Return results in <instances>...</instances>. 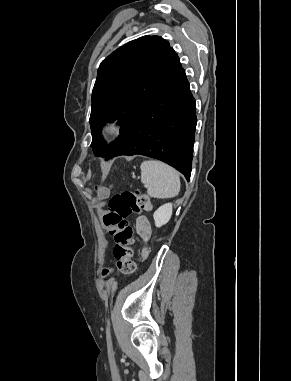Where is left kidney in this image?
<instances>
[{"mask_svg":"<svg viewBox=\"0 0 291 381\" xmlns=\"http://www.w3.org/2000/svg\"><path fill=\"white\" fill-rule=\"evenodd\" d=\"M172 216V204L166 203L160 206L153 214L156 227L165 225Z\"/></svg>","mask_w":291,"mask_h":381,"instance_id":"5707ae66","label":"left kidney"}]
</instances>
